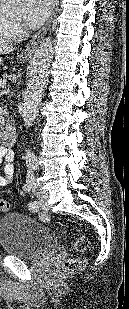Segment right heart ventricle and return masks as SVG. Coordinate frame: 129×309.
<instances>
[{
    "label": "right heart ventricle",
    "mask_w": 129,
    "mask_h": 309,
    "mask_svg": "<svg viewBox=\"0 0 129 309\" xmlns=\"http://www.w3.org/2000/svg\"><path fill=\"white\" fill-rule=\"evenodd\" d=\"M13 22L0 9V45L9 44L17 40Z\"/></svg>",
    "instance_id": "e07e8e85"
}]
</instances>
